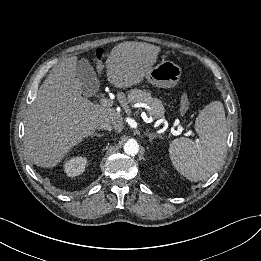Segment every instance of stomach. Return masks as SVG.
<instances>
[{"instance_id": "0dacf381", "label": "stomach", "mask_w": 261, "mask_h": 261, "mask_svg": "<svg viewBox=\"0 0 261 261\" xmlns=\"http://www.w3.org/2000/svg\"><path fill=\"white\" fill-rule=\"evenodd\" d=\"M182 75V69L172 61L163 60L146 74L145 79L158 88H174Z\"/></svg>"}]
</instances>
